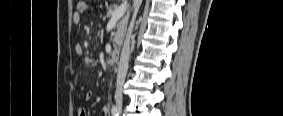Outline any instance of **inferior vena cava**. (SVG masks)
<instances>
[{"label":"inferior vena cava","mask_w":283,"mask_h":116,"mask_svg":"<svg viewBox=\"0 0 283 116\" xmlns=\"http://www.w3.org/2000/svg\"><path fill=\"white\" fill-rule=\"evenodd\" d=\"M142 3V0H133V18L132 22L128 28L127 34L125 36L124 44L122 47L121 55H120V61L118 65V72H117V87H116V93H115V100L117 104L122 103V87L125 82V78L128 71V64H129V57H130V38L132 35V29L134 25V21L137 15V12L139 10V7Z\"/></svg>","instance_id":"1"}]
</instances>
